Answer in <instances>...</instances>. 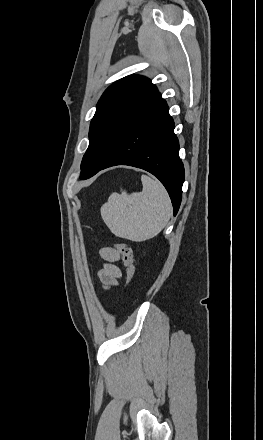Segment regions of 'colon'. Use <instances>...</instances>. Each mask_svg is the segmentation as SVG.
I'll return each mask as SVG.
<instances>
[{
	"label": "colon",
	"mask_w": 263,
	"mask_h": 440,
	"mask_svg": "<svg viewBox=\"0 0 263 440\" xmlns=\"http://www.w3.org/2000/svg\"><path fill=\"white\" fill-rule=\"evenodd\" d=\"M115 249L120 253L123 264L127 270L128 281L131 282L136 274V265L132 255V249L125 242L115 244Z\"/></svg>",
	"instance_id": "colon-1"
}]
</instances>
